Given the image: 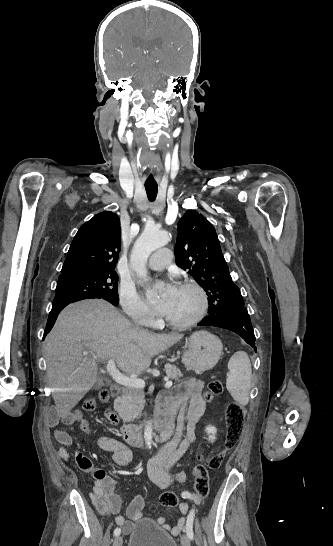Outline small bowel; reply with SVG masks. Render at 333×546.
<instances>
[{
	"mask_svg": "<svg viewBox=\"0 0 333 546\" xmlns=\"http://www.w3.org/2000/svg\"><path fill=\"white\" fill-rule=\"evenodd\" d=\"M203 387V381L190 379L181 383L176 393L162 394L158 398V415L167 419V430L165 435L160 438L165 445L150 461L149 476L159 487L166 488L175 482L184 480V474L175 471L174 466L189 451L195 441V425L206 407L202 396ZM58 421L63 423L79 421L80 427L86 433H90L89 424L82 419L79 411L72 414L62 413L52 417V426H55ZM55 438L59 444L57 447L58 456L64 461H68L70 455L66 448L72 445L71 436L65 431L55 429ZM98 443L102 450L111 454L116 464L127 466L131 463L132 451L126 444L109 436L101 437ZM74 459L81 470L92 474L95 478L90 498L98 512L103 516L117 514L120 510L121 500L114 492L113 482L105 477L103 471L94 469L91 460L81 452L75 451ZM183 496L193 504L197 503L195 496L190 492H184ZM145 505V496L139 494L134 497L127 508V519L122 515L115 517V523L122 528L124 533L130 532L133 523L142 519ZM180 510L184 517H181L174 526L167 524L164 517L157 519V523L174 536L179 535L185 529L187 518L194 514V509L186 503L180 505Z\"/></svg>",
	"mask_w": 333,
	"mask_h": 546,
	"instance_id": "1",
	"label": "small bowel"
}]
</instances>
